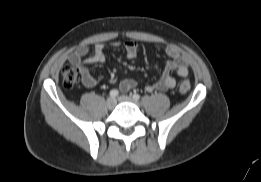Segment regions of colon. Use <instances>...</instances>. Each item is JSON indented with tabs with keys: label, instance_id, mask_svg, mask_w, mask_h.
<instances>
[{
	"label": "colon",
	"instance_id": "colon-1",
	"mask_svg": "<svg viewBox=\"0 0 261 182\" xmlns=\"http://www.w3.org/2000/svg\"><path fill=\"white\" fill-rule=\"evenodd\" d=\"M62 83L66 88L74 87L80 80L81 73L77 67L66 65L62 68ZM190 82L188 80H182L179 83V90L183 93L189 91Z\"/></svg>",
	"mask_w": 261,
	"mask_h": 182
}]
</instances>
